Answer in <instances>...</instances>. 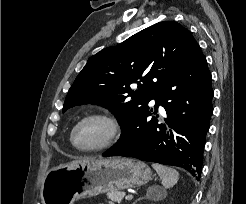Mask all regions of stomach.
<instances>
[{
	"label": "stomach",
	"instance_id": "1",
	"mask_svg": "<svg viewBox=\"0 0 246 204\" xmlns=\"http://www.w3.org/2000/svg\"><path fill=\"white\" fill-rule=\"evenodd\" d=\"M151 179L150 167L135 159H85L51 168L40 197L42 204H73L105 192L139 187Z\"/></svg>",
	"mask_w": 246,
	"mask_h": 204
}]
</instances>
